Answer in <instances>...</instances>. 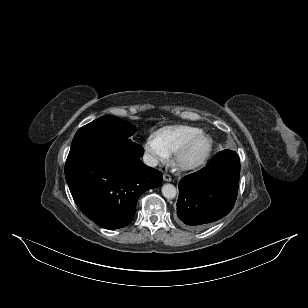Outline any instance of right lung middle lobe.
I'll list each match as a JSON object with an SVG mask.
<instances>
[{
	"label": "right lung middle lobe",
	"instance_id": "right-lung-middle-lobe-1",
	"mask_svg": "<svg viewBox=\"0 0 308 308\" xmlns=\"http://www.w3.org/2000/svg\"><path fill=\"white\" fill-rule=\"evenodd\" d=\"M137 128L114 116H102L81 127L75 134L70 152L86 147H117L143 155L144 149L132 142L130 136Z\"/></svg>",
	"mask_w": 308,
	"mask_h": 308
}]
</instances>
